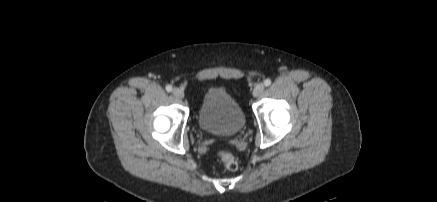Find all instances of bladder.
Wrapping results in <instances>:
<instances>
[{"instance_id":"obj_1","label":"bladder","mask_w":437,"mask_h":202,"mask_svg":"<svg viewBox=\"0 0 437 202\" xmlns=\"http://www.w3.org/2000/svg\"><path fill=\"white\" fill-rule=\"evenodd\" d=\"M196 121L198 127L206 133L230 137L243 130L246 116L240 104L230 93L214 87L204 94Z\"/></svg>"}]
</instances>
